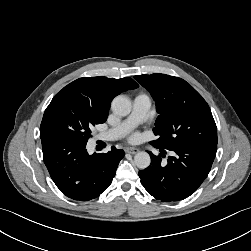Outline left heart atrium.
Instances as JSON below:
<instances>
[{"mask_svg": "<svg viewBox=\"0 0 251 251\" xmlns=\"http://www.w3.org/2000/svg\"><path fill=\"white\" fill-rule=\"evenodd\" d=\"M136 137H137L136 135H133V136H131V138H130V139H131V140H135V139H136Z\"/></svg>", "mask_w": 251, "mask_h": 251, "instance_id": "39dd6f15", "label": "left heart atrium"}]
</instances>
